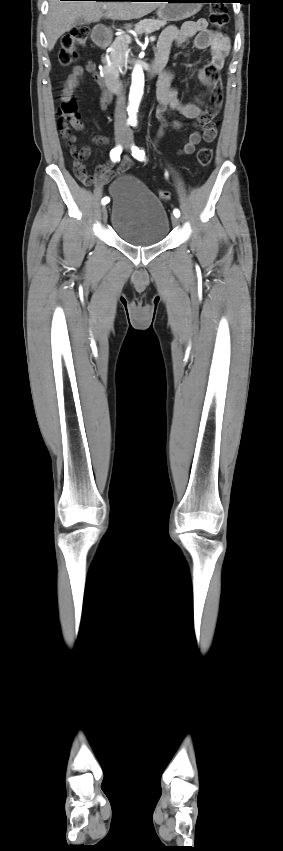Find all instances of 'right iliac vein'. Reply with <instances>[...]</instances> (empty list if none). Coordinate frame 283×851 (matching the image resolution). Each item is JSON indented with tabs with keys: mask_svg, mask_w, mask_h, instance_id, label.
<instances>
[{
	"mask_svg": "<svg viewBox=\"0 0 283 851\" xmlns=\"http://www.w3.org/2000/svg\"><path fill=\"white\" fill-rule=\"evenodd\" d=\"M101 211H102L103 220L106 221L107 217H108L106 206H103Z\"/></svg>",
	"mask_w": 283,
	"mask_h": 851,
	"instance_id": "right-iliac-vein-1",
	"label": "right iliac vein"
}]
</instances>
